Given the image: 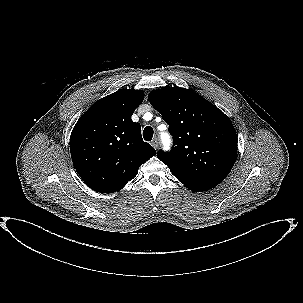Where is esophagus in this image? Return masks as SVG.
Returning a JSON list of instances; mask_svg holds the SVG:
<instances>
[{
	"label": "esophagus",
	"mask_w": 303,
	"mask_h": 303,
	"mask_svg": "<svg viewBox=\"0 0 303 303\" xmlns=\"http://www.w3.org/2000/svg\"><path fill=\"white\" fill-rule=\"evenodd\" d=\"M151 145L157 149L158 146H159V140L157 138H154L152 141H151Z\"/></svg>",
	"instance_id": "obj_1"
}]
</instances>
